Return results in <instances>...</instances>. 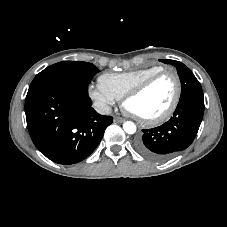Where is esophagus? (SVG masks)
<instances>
[{
    "label": "esophagus",
    "instance_id": "esophagus-1",
    "mask_svg": "<svg viewBox=\"0 0 227 227\" xmlns=\"http://www.w3.org/2000/svg\"><path fill=\"white\" fill-rule=\"evenodd\" d=\"M114 121L115 122H119V123H122V122H124L125 121V119L124 118H122V117H114Z\"/></svg>",
    "mask_w": 227,
    "mask_h": 227
}]
</instances>
